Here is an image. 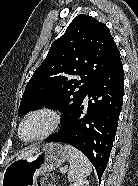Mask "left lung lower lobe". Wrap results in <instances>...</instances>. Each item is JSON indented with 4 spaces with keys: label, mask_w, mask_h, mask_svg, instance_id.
I'll list each match as a JSON object with an SVG mask.
<instances>
[{
    "label": "left lung lower lobe",
    "mask_w": 138,
    "mask_h": 186,
    "mask_svg": "<svg viewBox=\"0 0 138 186\" xmlns=\"http://www.w3.org/2000/svg\"><path fill=\"white\" fill-rule=\"evenodd\" d=\"M123 91L124 76L120 59L89 88L86 96L92 99H89L88 105L84 107L82 101L59 132L46 141L68 143L80 150L94 165L101 179L113 146Z\"/></svg>",
    "instance_id": "obj_1"
}]
</instances>
